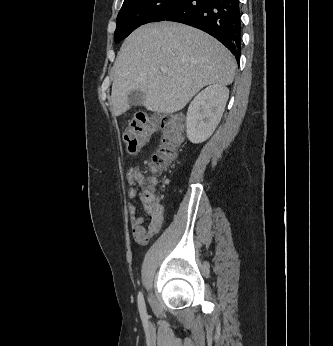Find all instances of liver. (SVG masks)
<instances>
[{
  "label": "liver",
  "instance_id": "obj_1",
  "mask_svg": "<svg viewBox=\"0 0 333 346\" xmlns=\"http://www.w3.org/2000/svg\"><path fill=\"white\" fill-rule=\"evenodd\" d=\"M235 69L230 51L199 29L171 22L144 25L125 39L114 63L112 113L130 109L133 90L145 93L147 110L175 113L204 86L230 85Z\"/></svg>",
  "mask_w": 333,
  "mask_h": 346
}]
</instances>
